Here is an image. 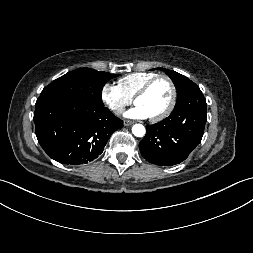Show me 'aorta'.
<instances>
[{"mask_svg":"<svg viewBox=\"0 0 253 253\" xmlns=\"http://www.w3.org/2000/svg\"><path fill=\"white\" fill-rule=\"evenodd\" d=\"M145 127L142 124H135L132 126V133L136 137H143L145 135Z\"/></svg>","mask_w":253,"mask_h":253,"instance_id":"762f6f07","label":"aorta"}]
</instances>
